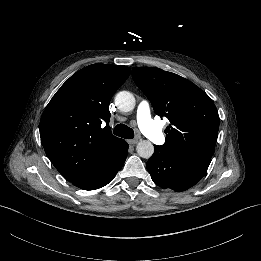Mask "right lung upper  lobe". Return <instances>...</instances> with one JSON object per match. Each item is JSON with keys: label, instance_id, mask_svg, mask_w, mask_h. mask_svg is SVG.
I'll return each mask as SVG.
<instances>
[{"label": "right lung upper lobe", "instance_id": "cb5924a9", "mask_svg": "<svg viewBox=\"0 0 261 261\" xmlns=\"http://www.w3.org/2000/svg\"><path fill=\"white\" fill-rule=\"evenodd\" d=\"M129 74L126 66L89 65L71 76L44 110L42 145L68 181L98 169L126 143L112 135L108 123L110 99Z\"/></svg>", "mask_w": 261, "mask_h": 261}]
</instances>
